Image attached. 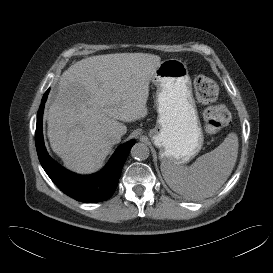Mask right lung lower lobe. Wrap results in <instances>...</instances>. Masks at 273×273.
<instances>
[{"instance_id":"right-lung-lower-lobe-1","label":"right lung lower lobe","mask_w":273,"mask_h":273,"mask_svg":"<svg viewBox=\"0 0 273 273\" xmlns=\"http://www.w3.org/2000/svg\"><path fill=\"white\" fill-rule=\"evenodd\" d=\"M48 92L49 89L39 107L35 135L37 154L42 167L55 185L73 199L85 203L107 200L117 187L122 166L135 140L119 146L107 165L96 174L83 176L64 169L48 155L43 141L42 118Z\"/></svg>"}]
</instances>
